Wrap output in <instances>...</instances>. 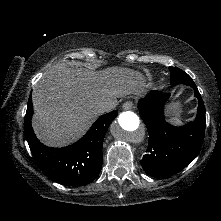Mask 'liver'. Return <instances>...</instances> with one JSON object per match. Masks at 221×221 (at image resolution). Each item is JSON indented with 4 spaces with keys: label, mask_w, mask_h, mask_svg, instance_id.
Here are the masks:
<instances>
[{
    "label": "liver",
    "mask_w": 221,
    "mask_h": 221,
    "mask_svg": "<svg viewBox=\"0 0 221 221\" xmlns=\"http://www.w3.org/2000/svg\"><path fill=\"white\" fill-rule=\"evenodd\" d=\"M147 88L144 76L133 69L113 66L91 71L55 64L33 90V129L48 146L68 145L99 116V105L111 103L115 107L117 98L142 96ZM170 109L176 112L175 106Z\"/></svg>",
    "instance_id": "obj_1"
}]
</instances>
